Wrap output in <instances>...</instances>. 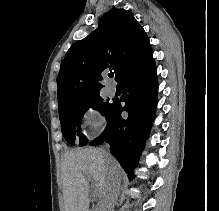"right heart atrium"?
I'll return each mask as SVG.
<instances>
[{
	"label": "right heart atrium",
	"instance_id": "d8ad5b80",
	"mask_svg": "<svg viewBox=\"0 0 219 211\" xmlns=\"http://www.w3.org/2000/svg\"><path fill=\"white\" fill-rule=\"evenodd\" d=\"M84 126L91 136L99 134L104 126L106 118L101 109L96 105H91L85 109L82 115Z\"/></svg>",
	"mask_w": 219,
	"mask_h": 211
}]
</instances>
